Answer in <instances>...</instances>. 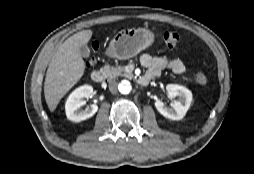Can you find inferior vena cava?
Instances as JSON below:
<instances>
[{"label":"inferior vena cava","instance_id":"obj_1","mask_svg":"<svg viewBox=\"0 0 254 174\" xmlns=\"http://www.w3.org/2000/svg\"><path fill=\"white\" fill-rule=\"evenodd\" d=\"M118 83L115 80L109 82V90L111 93L115 94L117 92Z\"/></svg>","mask_w":254,"mask_h":174}]
</instances>
